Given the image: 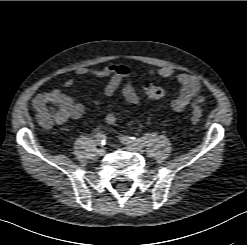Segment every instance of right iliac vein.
Returning a JSON list of instances; mask_svg holds the SVG:
<instances>
[{"mask_svg":"<svg viewBox=\"0 0 247 245\" xmlns=\"http://www.w3.org/2000/svg\"><path fill=\"white\" fill-rule=\"evenodd\" d=\"M106 154V150H105V148H99L98 150H97V155L98 156H104Z\"/></svg>","mask_w":247,"mask_h":245,"instance_id":"63e3f726","label":"right iliac vein"}]
</instances>
